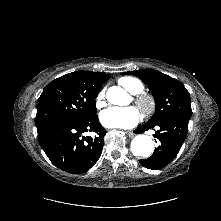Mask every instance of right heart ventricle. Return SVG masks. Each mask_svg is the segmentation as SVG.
Returning a JSON list of instances; mask_svg holds the SVG:
<instances>
[{
	"instance_id": "obj_1",
	"label": "right heart ventricle",
	"mask_w": 221,
	"mask_h": 221,
	"mask_svg": "<svg viewBox=\"0 0 221 221\" xmlns=\"http://www.w3.org/2000/svg\"><path fill=\"white\" fill-rule=\"evenodd\" d=\"M119 84L132 94H138L144 88L143 83L134 77H122L119 79Z\"/></svg>"
}]
</instances>
